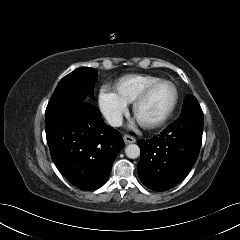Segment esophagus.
I'll return each mask as SVG.
<instances>
[{
	"mask_svg": "<svg viewBox=\"0 0 240 240\" xmlns=\"http://www.w3.org/2000/svg\"><path fill=\"white\" fill-rule=\"evenodd\" d=\"M123 139H124L126 144H131V143H135L136 142L135 137H133L131 135H128V134L124 135Z\"/></svg>",
	"mask_w": 240,
	"mask_h": 240,
	"instance_id": "34e87169",
	"label": "esophagus"
}]
</instances>
